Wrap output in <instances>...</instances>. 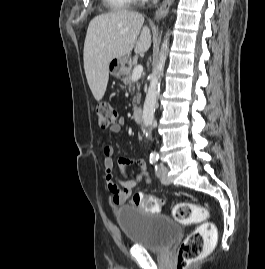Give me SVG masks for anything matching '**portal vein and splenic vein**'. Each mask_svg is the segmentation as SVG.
Segmentation results:
<instances>
[{"label": "portal vein and splenic vein", "mask_w": 265, "mask_h": 269, "mask_svg": "<svg viewBox=\"0 0 265 269\" xmlns=\"http://www.w3.org/2000/svg\"><path fill=\"white\" fill-rule=\"evenodd\" d=\"M143 72V66L142 65H137L132 73L131 79L132 81H136L141 77V74Z\"/></svg>", "instance_id": "portal-vein-and-splenic-vein-1"}]
</instances>
